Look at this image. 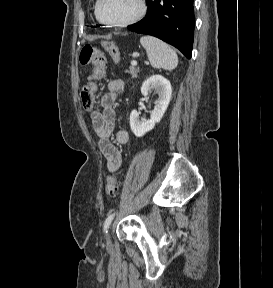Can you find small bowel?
<instances>
[{
  "label": "small bowel",
  "instance_id": "c3829d8e",
  "mask_svg": "<svg viewBox=\"0 0 273 288\" xmlns=\"http://www.w3.org/2000/svg\"><path fill=\"white\" fill-rule=\"evenodd\" d=\"M124 89V82L120 79L109 82L107 91L101 96V110H93L90 114L91 122L99 141L98 146L106 159L107 169L116 172L122 162L118 148L111 141V135L115 127L114 103ZM118 144H126L129 140L127 130L120 129L115 135Z\"/></svg>",
  "mask_w": 273,
  "mask_h": 288
}]
</instances>
